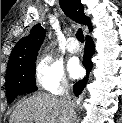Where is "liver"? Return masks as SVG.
<instances>
[{"label": "liver", "mask_w": 122, "mask_h": 123, "mask_svg": "<svg viewBox=\"0 0 122 123\" xmlns=\"http://www.w3.org/2000/svg\"><path fill=\"white\" fill-rule=\"evenodd\" d=\"M76 115H64L62 99L51 94H35L17 104L9 123H75Z\"/></svg>", "instance_id": "obj_1"}]
</instances>
